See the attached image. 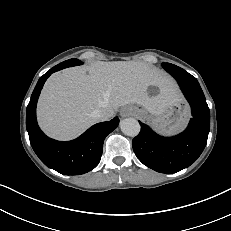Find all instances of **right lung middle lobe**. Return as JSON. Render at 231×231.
I'll use <instances>...</instances> for the list:
<instances>
[{
  "instance_id": "right-lung-middle-lobe-1",
  "label": "right lung middle lobe",
  "mask_w": 231,
  "mask_h": 231,
  "mask_svg": "<svg viewBox=\"0 0 231 231\" xmlns=\"http://www.w3.org/2000/svg\"><path fill=\"white\" fill-rule=\"evenodd\" d=\"M82 62L78 59H69V60H66L60 64H58V66H62V65H67L66 67H71V66H75V65H81Z\"/></svg>"
}]
</instances>
